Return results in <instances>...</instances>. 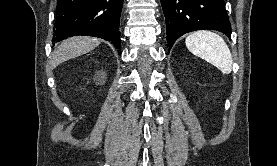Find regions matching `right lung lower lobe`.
<instances>
[{"label":"right lung lower lobe","instance_id":"1","mask_svg":"<svg viewBox=\"0 0 277 166\" xmlns=\"http://www.w3.org/2000/svg\"><path fill=\"white\" fill-rule=\"evenodd\" d=\"M123 0H58L53 41L75 35L110 41L120 54L119 20Z\"/></svg>","mask_w":277,"mask_h":166}]
</instances>
